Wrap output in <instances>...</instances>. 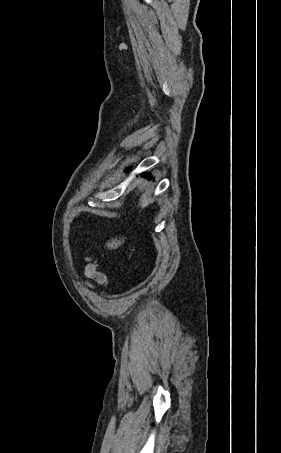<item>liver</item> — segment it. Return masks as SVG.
Segmentation results:
<instances>
[{
	"label": "liver",
	"instance_id": "1",
	"mask_svg": "<svg viewBox=\"0 0 281 453\" xmlns=\"http://www.w3.org/2000/svg\"><path fill=\"white\" fill-rule=\"evenodd\" d=\"M141 188H144V184H143V186H141ZM123 243H124V237H121V239H119V241H117V239H111V241H107L106 247H108V249H118V247H121V245H123Z\"/></svg>",
	"mask_w": 281,
	"mask_h": 453
}]
</instances>
